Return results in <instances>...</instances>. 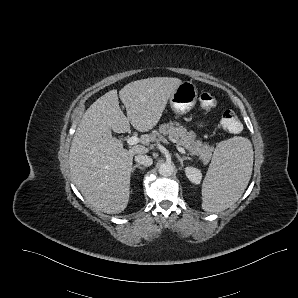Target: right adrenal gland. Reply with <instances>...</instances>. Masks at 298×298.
Segmentation results:
<instances>
[{
  "label": "right adrenal gland",
  "instance_id": "1",
  "mask_svg": "<svg viewBox=\"0 0 298 298\" xmlns=\"http://www.w3.org/2000/svg\"><path fill=\"white\" fill-rule=\"evenodd\" d=\"M136 167H139L140 169H143V168H144V167H143L142 165H140V164H134V165L131 167V171H134V169H135Z\"/></svg>",
  "mask_w": 298,
  "mask_h": 298
}]
</instances>
